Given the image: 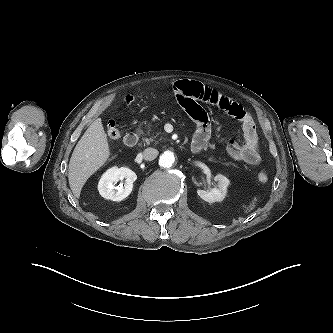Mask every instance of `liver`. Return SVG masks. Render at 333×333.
Segmentation results:
<instances>
[{"label": "liver", "mask_w": 333, "mask_h": 333, "mask_svg": "<svg viewBox=\"0 0 333 333\" xmlns=\"http://www.w3.org/2000/svg\"><path fill=\"white\" fill-rule=\"evenodd\" d=\"M109 156L107 135L101 119L97 118L87 128L70 158L68 180L76 198L80 197L88 178L105 164Z\"/></svg>", "instance_id": "liver-1"}]
</instances>
